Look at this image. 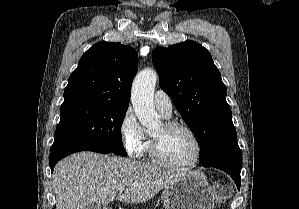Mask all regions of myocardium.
I'll use <instances>...</instances> for the list:
<instances>
[{"label":"myocardium","mask_w":299,"mask_h":209,"mask_svg":"<svg viewBox=\"0 0 299 209\" xmlns=\"http://www.w3.org/2000/svg\"><path fill=\"white\" fill-rule=\"evenodd\" d=\"M163 127L166 130L181 129L186 131L195 142L196 153L194 158L188 163L177 164V163L170 162L167 159H165L164 156L162 155L158 141L152 135H150L149 155L153 160V162H155L160 166L171 168V169H190L196 166L199 163L203 152L202 143L197 133L190 126L179 121L167 120L163 122Z\"/></svg>","instance_id":"obj_1"}]
</instances>
